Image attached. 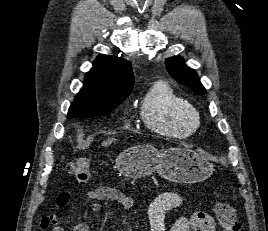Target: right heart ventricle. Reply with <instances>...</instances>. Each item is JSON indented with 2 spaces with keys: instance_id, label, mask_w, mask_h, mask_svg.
Listing matches in <instances>:
<instances>
[{
  "instance_id": "e07e8e85",
  "label": "right heart ventricle",
  "mask_w": 268,
  "mask_h": 231,
  "mask_svg": "<svg viewBox=\"0 0 268 231\" xmlns=\"http://www.w3.org/2000/svg\"><path fill=\"white\" fill-rule=\"evenodd\" d=\"M140 115L150 130L163 136L186 138L199 127L194 106L164 82L151 87L141 103Z\"/></svg>"
}]
</instances>
